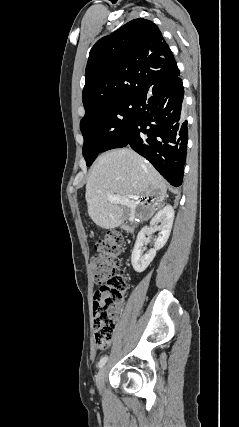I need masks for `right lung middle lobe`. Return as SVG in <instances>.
Segmentation results:
<instances>
[{
  "label": "right lung middle lobe",
  "mask_w": 239,
  "mask_h": 427,
  "mask_svg": "<svg viewBox=\"0 0 239 427\" xmlns=\"http://www.w3.org/2000/svg\"><path fill=\"white\" fill-rule=\"evenodd\" d=\"M136 98L107 100L92 106L80 122L87 166L100 152L118 148L129 138Z\"/></svg>",
  "instance_id": "obj_1"
}]
</instances>
